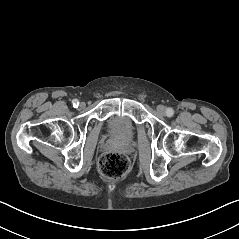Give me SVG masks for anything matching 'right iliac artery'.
Listing matches in <instances>:
<instances>
[{"mask_svg": "<svg viewBox=\"0 0 239 239\" xmlns=\"http://www.w3.org/2000/svg\"><path fill=\"white\" fill-rule=\"evenodd\" d=\"M72 104H73L74 107H78L79 101H78L77 99H74V100L72 101Z\"/></svg>", "mask_w": 239, "mask_h": 239, "instance_id": "82829eb1", "label": "right iliac artery"}]
</instances>
